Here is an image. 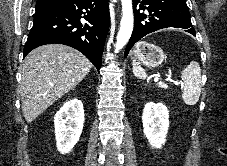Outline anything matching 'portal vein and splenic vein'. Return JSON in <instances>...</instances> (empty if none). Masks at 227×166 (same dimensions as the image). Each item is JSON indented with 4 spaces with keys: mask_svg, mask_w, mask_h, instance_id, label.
Listing matches in <instances>:
<instances>
[{
    "mask_svg": "<svg viewBox=\"0 0 227 166\" xmlns=\"http://www.w3.org/2000/svg\"><path fill=\"white\" fill-rule=\"evenodd\" d=\"M158 80H159V76L157 75V76L155 77V81L157 82ZM166 81L173 82L175 85H181V86L183 85L182 82L174 81V80H172V79H170V78H167ZM163 85L167 87L166 84H163Z\"/></svg>",
    "mask_w": 227,
    "mask_h": 166,
    "instance_id": "obj_1",
    "label": "portal vein and splenic vein"
}]
</instances>
